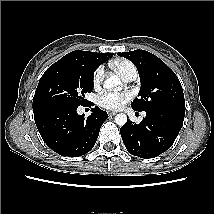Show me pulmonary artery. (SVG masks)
<instances>
[{"label": "pulmonary artery", "instance_id": "pulmonary-artery-1", "mask_svg": "<svg viewBox=\"0 0 214 214\" xmlns=\"http://www.w3.org/2000/svg\"><path fill=\"white\" fill-rule=\"evenodd\" d=\"M137 77V71L135 69V67L129 69L123 76V80L125 82H131L133 80H135Z\"/></svg>", "mask_w": 214, "mask_h": 214}]
</instances>
